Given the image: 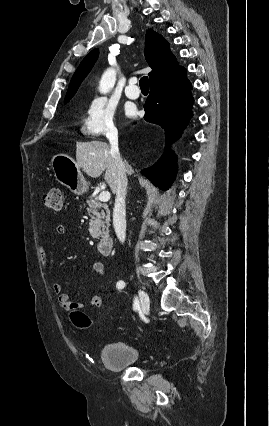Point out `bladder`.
<instances>
[{"label":"bladder","mask_w":269,"mask_h":426,"mask_svg":"<svg viewBox=\"0 0 269 426\" xmlns=\"http://www.w3.org/2000/svg\"><path fill=\"white\" fill-rule=\"evenodd\" d=\"M99 358L108 369L121 370L140 362L142 353L132 344L111 342L101 348Z\"/></svg>","instance_id":"31cf9c89"}]
</instances>
